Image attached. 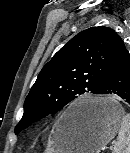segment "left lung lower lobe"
Instances as JSON below:
<instances>
[{
	"mask_svg": "<svg viewBox=\"0 0 130 153\" xmlns=\"http://www.w3.org/2000/svg\"><path fill=\"white\" fill-rule=\"evenodd\" d=\"M98 94H114L130 104V55L123 41L103 73ZM87 111L84 108L75 114L84 116Z\"/></svg>",
	"mask_w": 130,
	"mask_h": 153,
	"instance_id": "left-lung-lower-lobe-1",
	"label": "left lung lower lobe"
}]
</instances>
